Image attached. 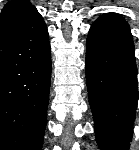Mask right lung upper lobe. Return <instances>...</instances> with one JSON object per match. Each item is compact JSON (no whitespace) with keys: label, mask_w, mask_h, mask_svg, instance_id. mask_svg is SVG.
<instances>
[{"label":"right lung upper lobe","mask_w":139,"mask_h":150,"mask_svg":"<svg viewBox=\"0 0 139 150\" xmlns=\"http://www.w3.org/2000/svg\"><path fill=\"white\" fill-rule=\"evenodd\" d=\"M36 8L30 3L29 0H12L9 1L0 14V29L8 26L12 22L20 19L29 11Z\"/></svg>","instance_id":"obj_1"}]
</instances>
